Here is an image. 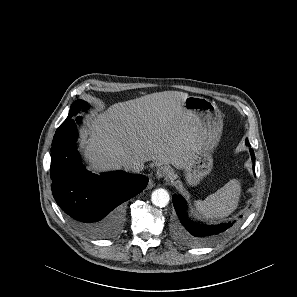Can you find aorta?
Instances as JSON below:
<instances>
[{"label":"aorta","instance_id":"obj_1","mask_svg":"<svg viewBox=\"0 0 297 297\" xmlns=\"http://www.w3.org/2000/svg\"><path fill=\"white\" fill-rule=\"evenodd\" d=\"M169 193L162 188L152 192L151 201L157 207H165L169 203Z\"/></svg>","mask_w":297,"mask_h":297}]
</instances>
